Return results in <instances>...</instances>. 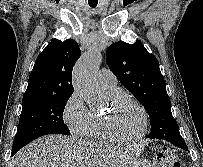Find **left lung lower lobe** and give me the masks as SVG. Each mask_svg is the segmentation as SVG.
<instances>
[{"instance_id": "0a47b994", "label": "left lung lower lobe", "mask_w": 203, "mask_h": 167, "mask_svg": "<svg viewBox=\"0 0 203 167\" xmlns=\"http://www.w3.org/2000/svg\"><path fill=\"white\" fill-rule=\"evenodd\" d=\"M164 140H167L168 142H171L173 145H175V146H177L179 148L187 150V146H186L183 138L178 136V135L172 134V135L166 136L164 138Z\"/></svg>"}]
</instances>
